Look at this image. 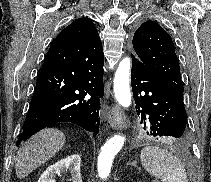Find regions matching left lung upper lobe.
I'll use <instances>...</instances> for the list:
<instances>
[{
  "instance_id": "left-lung-upper-lobe-1",
  "label": "left lung upper lobe",
  "mask_w": 211,
  "mask_h": 182,
  "mask_svg": "<svg viewBox=\"0 0 211 182\" xmlns=\"http://www.w3.org/2000/svg\"><path fill=\"white\" fill-rule=\"evenodd\" d=\"M135 55L164 86L183 98L180 67L170 35L155 21L144 22L133 36Z\"/></svg>"
}]
</instances>
